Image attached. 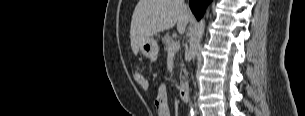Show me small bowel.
Instances as JSON below:
<instances>
[{
	"mask_svg": "<svg viewBox=\"0 0 305 116\" xmlns=\"http://www.w3.org/2000/svg\"><path fill=\"white\" fill-rule=\"evenodd\" d=\"M155 107L157 109L158 116H171L170 108L167 102L166 89L162 83L158 84L157 86Z\"/></svg>",
	"mask_w": 305,
	"mask_h": 116,
	"instance_id": "c3829d8e",
	"label": "small bowel"
}]
</instances>
